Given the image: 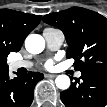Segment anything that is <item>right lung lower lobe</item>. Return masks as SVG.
Segmentation results:
<instances>
[{
    "instance_id": "1",
    "label": "right lung lower lobe",
    "mask_w": 107,
    "mask_h": 107,
    "mask_svg": "<svg viewBox=\"0 0 107 107\" xmlns=\"http://www.w3.org/2000/svg\"><path fill=\"white\" fill-rule=\"evenodd\" d=\"M43 78L42 73L29 72L10 79L8 69L0 70V107H29L34 87Z\"/></svg>"
}]
</instances>
